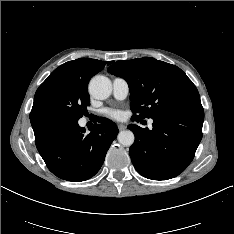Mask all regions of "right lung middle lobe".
Segmentation results:
<instances>
[{"label": "right lung middle lobe", "mask_w": 234, "mask_h": 234, "mask_svg": "<svg viewBox=\"0 0 234 234\" xmlns=\"http://www.w3.org/2000/svg\"><path fill=\"white\" fill-rule=\"evenodd\" d=\"M87 86L68 80H56L38 88L30 117L64 115L79 120L90 105Z\"/></svg>", "instance_id": "dd1d6c3e"}]
</instances>
